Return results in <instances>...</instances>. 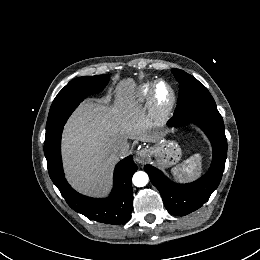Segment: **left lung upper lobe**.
Here are the masks:
<instances>
[{"label": "left lung upper lobe", "instance_id": "5c2ea615", "mask_svg": "<svg viewBox=\"0 0 260 260\" xmlns=\"http://www.w3.org/2000/svg\"><path fill=\"white\" fill-rule=\"evenodd\" d=\"M172 73L180 83L179 98L174 115L184 113L194 107H216L207 88L197 79L179 69H172Z\"/></svg>", "mask_w": 260, "mask_h": 260}]
</instances>
